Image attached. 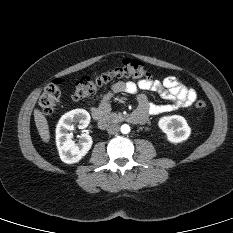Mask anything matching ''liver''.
<instances>
[{
  "instance_id": "obj_1",
  "label": "liver",
  "mask_w": 233,
  "mask_h": 233,
  "mask_svg": "<svg viewBox=\"0 0 233 233\" xmlns=\"http://www.w3.org/2000/svg\"><path fill=\"white\" fill-rule=\"evenodd\" d=\"M34 120L42 141L48 143L50 140V132L46 117L42 114L40 110L35 109Z\"/></svg>"
}]
</instances>
